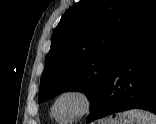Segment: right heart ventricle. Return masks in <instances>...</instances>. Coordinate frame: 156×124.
I'll list each match as a JSON object with an SVG mask.
<instances>
[{"label": "right heart ventricle", "instance_id": "e07e8e85", "mask_svg": "<svg viewBox=\"0 0 156 124\" xmlns=\"http://www.w3.org/2000/svg\"><path fill=\"white\" fill-rule=\"evenodd\" d=\"M57 122H60V123H63L64 121L63 120H61V119H59V118H56V117H54L53 115H51Z\"/></svg>", "mask_w": 156, "mask_h": 124}]
</instances>
